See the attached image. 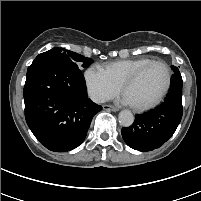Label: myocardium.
<instances>
[{
	"mask_svg": "<svg viewBox=\"0 0 201 201\" xmlns=\"http://www.w3.org/2000/svg\"><path fill=\"white\" fill-rule=\"evenodd\" d=\"M153 64H161L164 66V68L166 70V83H165L162 91L159 93V95L151 102L146 103V104H131V106L136 110L143 111V110H148V109L155 107L163 100V98L166 96V94L168 93V91L171 87L172 71H171L169 64L162 59H156V60H151V61L147 62L146 64H144L141 67H139L138 69H136L132 74H130L121 84V91L124 93L125 89L130 84H132L148 67H150Z\"/></svg>",
	"mask_w": 201,
	"mask_h": 201,
	"instance_id": "1",
	"label": "myocardium"
}]
</instances>
